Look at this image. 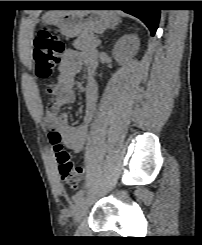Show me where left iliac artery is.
I'll return each mask as SVG.
<instances>
[{
  "mask_svg": "<svg viewBox=\"0 0 202 245\" xmlns=\"http://www.w3.org/2000/svg\"><path fill=\"white\" fill-rule=\"evenodd\" d=\"M84 192V189H80L79 191H77L73 196L74 202H77L83 196Z\"/></svg>",
  "mask_w": 202,
  "mask_h": 245,
  "instance_id": "obj_1",
  "label": "left iliac artery"
}]
</instances>
